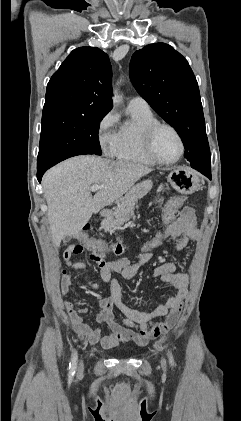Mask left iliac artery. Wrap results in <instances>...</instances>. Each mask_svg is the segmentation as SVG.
Returning a JSON list of instances; mask_svg holds the SVG:
<instances>
[{
  "label": "left iliac artery",
  "instance_id": "1",
  "mask_svg": "<svg viewBox=\"0 0 241 421\" xmlns=\"http://www.w3.org/2000/svg\"><path fill=\"white\" fill-rule=\"evenodd\" d=\"M169 361H170L171 365H174V360H173V356H172L171 352H169Z\"/></svg>",
  "mask_w": 241,
  "mask_h": 421
}]
</instances>
